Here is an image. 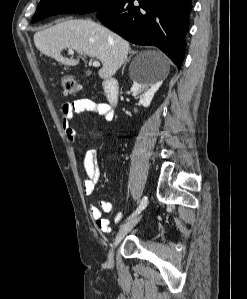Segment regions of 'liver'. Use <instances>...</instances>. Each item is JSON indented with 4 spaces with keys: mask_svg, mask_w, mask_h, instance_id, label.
I'll use <instances>...</instances> for the list:
<instances>
[{
    "mask_svg": "<svg viewBox=\"0 0 247 299\" xmlns=\"http://www.w3.org/2000/svg\"><path fill=\"white\" fill-rule=\"evenodd\" d=\"M34 43L42 54L67 66H76L79 60L63 57L61 52L65 48L98 59L103 65L98 72L102 79H110L127 60L130 51L129 43L122 37L86 19L68 20L38 31L34 34ZM147 53L156 59L161 77H167L169 64L166 56L158 51Z\"/></svg>",
    "mask_w": 247,
    "mask_h": 299,
    "instance_id": "obj_1",
    "label": "liver"
}]
</instances>
